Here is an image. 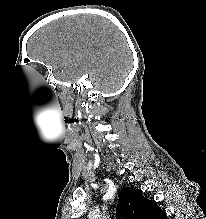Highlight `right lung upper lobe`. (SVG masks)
Instances as JSON below:
<instances>
[{"label": "right lung upper lobe", "instance_id": "obj_1", "mask_svg": "<svg viewBox=\"0 0 206 219\" xmlns=\"http://www.w3.org/2000/svg\"><path fill=\"white\" fill-rule=\"evenodd\" d=\"M118 195L116 219H166L165 211L154 200L145 199L141 190L125 187Z\"/></svg>", "mask_w": 206, "mask_h": 219}]
</instances>
